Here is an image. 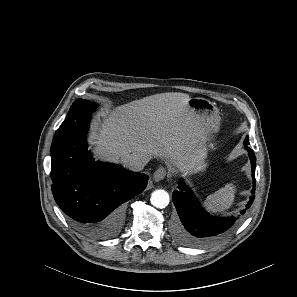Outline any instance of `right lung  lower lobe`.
Wrapping results in <instances>:
<instances>
[{
  "label": "right lung lower lobe",
  "mask_w": 297,
  "mask_h": 297,
  "mask_svg": "<svg viewBox=\"0 0 297 297\" xmlns=\"http://www.w3.org/2000/svg\"><path fill=\"white\" fill-rule=\"evenodd\" d=\"M89 116L72 120L55 133L51 145L54 199L83 235L115 236L123 224V203L141 193L148 176L94 161L87 151Z\"/></svg>",
  "instance_id": "1"
}]
</instances>
